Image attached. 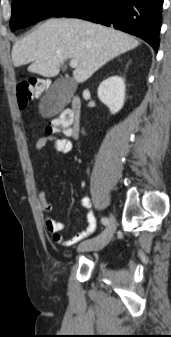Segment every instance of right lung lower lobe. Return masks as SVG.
Segmentation results:
<instances>
[{
	"mask_svg": "<svg viewBox=\"0 0 171 337\" xmlns=\"http://www.w3.org/2000/svg\"><path fill=\"white\" fill-rule=\"evenodd\" d=\"M163 0H75L54 17H76L112 26L145 40L157 52Z\"/></svg>",
	"mask_w": 171,
	"mask_h": 337,
	"instance_id": "98d812e1",
	"label": "right lung lower lobe"
}]
</instances>
